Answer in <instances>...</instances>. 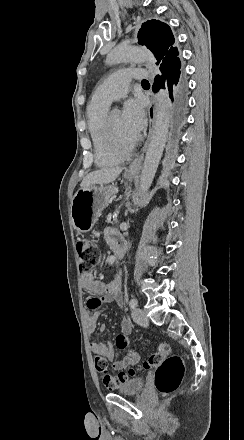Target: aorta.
I'll list each match as a JSON object with an SVG mask.
<instances>
[{
  "label": "aorta",
  "mask_w": 244,
  "mask_h": 440,
  "mask_svg": "<svg viewBox=\"0 0 244 440\" xmlns=\"http://www.w3.org/2000/svg\"><path fill=\"white\" fill-rule=\"evenodd\" d=\"M126 61H153V55L150 51L140 47H117L109 53L107 58V62L111 65ZM169 105L167 90H159L153 132L140 176L139 192L141 194L150 188L163 154L169 128Z\"/></svg>",
  "instance_id": "762f6f07"
}]
</instances>
